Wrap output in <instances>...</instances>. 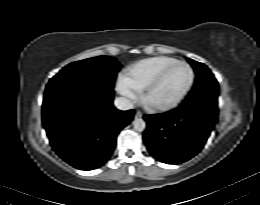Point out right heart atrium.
<instances>
[{
    "label": "right heart atrium",
    "instance_id": "right-heart-atrium-1",
    "mask_svg": "<svg viewBox=\"0 0 260 205\" xmlns=\"http://www.w3.org/2000/svg\"><path fill=\"white\" fill-rule=\"evenodd\" d=\"M118 91L129 101H135L139 98V91L131 87L123 77L118 82Z\"/></svg>",
    "mask_w": 260,
    "mask_h": 205
}]
</instances>
